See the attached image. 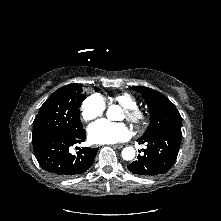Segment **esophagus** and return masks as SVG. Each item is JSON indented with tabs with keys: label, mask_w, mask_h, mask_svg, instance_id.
<instances>
[{
	"label": "esophagus",
	"mask_w": 221,
	"mask_h": 221,
	"mask_svg": "<svg viewBox=\"0 0 221 221\" xmlns=\"http://www.w3.org/2000/svg\"><path fill=\"white\" fill-rule=\"evenodd\" d=\"M126 146V144H116V145H112V147L114 148V149H121V148H123V147H125Z\"/></svg>",
	"instance_id": "esophagus-1"
}]
</instances>
